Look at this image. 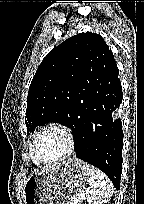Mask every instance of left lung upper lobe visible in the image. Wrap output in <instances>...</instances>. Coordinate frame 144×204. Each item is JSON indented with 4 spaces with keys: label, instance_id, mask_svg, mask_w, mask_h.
<instances>
[{
    "label": "left lung upper lobe",
    "instance_id": "1",
    "mask_svg": "<svg viewBox=\"0 0 144 204\" xmlns=\"http://www.w3.org/2000/svg\"><path fill=\"white\" fill-rule=\"evenodd\" d=\"M114 56L96 33H80L55 47L39 65L29 87L25 122L27 134L49 122L79 132L87 94L100 64Z\"/></svg>",
    "mask_w": 144,
    "mask_h": 204
}]
</instances>
